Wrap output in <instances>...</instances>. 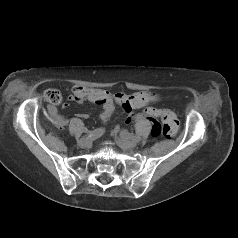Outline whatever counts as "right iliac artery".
Instances as JSON below:
<instances>
[{
    "instance_id": "right-iliac-artery-1",
    "label": "right iliac artery",
    "mask_w": 238,
    "mask_h": 238,
    "mask_svg": "<svg viewBox=\"0 0 238 238\" xmlns=\"http://www.w3.org/2000/svg\"><path fill=\"white\" fill-rule=\"evenodd\" d=\"M104 132L105 130L103 128H97L94 131L89 132L87 136L90 139H96L100 137L101 135H103Z\"/></svg>"
}]
</instances>
